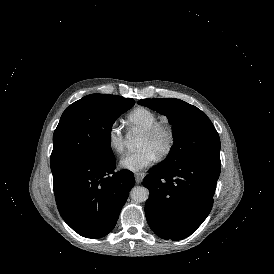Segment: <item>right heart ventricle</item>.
<instances>
[{
  "mask_svg": "<svg viewBox=\"0 0 274 274\" xmlns=\"http://www.w3.org/2000/svg\"><path fill=\"white\" fill-rule=\"evenodd\" d=\"M130 129H137L144 132L159 123L158 116L149 110H138L130 114L127 118Z\"/></svg>",
  "mask_w": 274,
  "mask_h": 274,
  "instance_id": "e07e8e85",
  "label": "right heart ventricle"
}]
</instances>
